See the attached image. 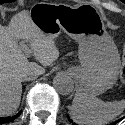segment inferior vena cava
<instances>
[{"label": "inferior vena cava", "mask_w": 125, "mask_h": 125, "mask_svg": "<svg viewBox=\"0 0 125 125\" xmlns=\"http://www.w3.org/2000/svg\"><path fill=\"white\" fill-rule=\"evenodd\" d=\"M38 77V74L35 73V72H29V73H26L24 75H22V80L23 81H30V80H34Z\"/></svg>", "instance_id": "602c4592"}]
</instances>
